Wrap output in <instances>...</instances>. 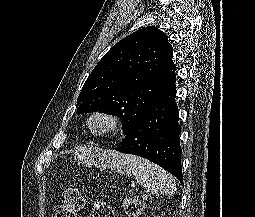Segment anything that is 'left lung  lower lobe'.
<instances>
[{
    "label": "left lung lower lobe",
    "mask_w": 255,
    "mask_h": 217,
    "mask_svg": "<svg viewBox=\"0 0 255 217\" xmlns=\"http://www.w3.org/2000/svg\"><path fill=\"white\" fill-rule=\"evenodd\" d=\"M175 82L176 78L148 105L116 150L156 163L183 184Z\"/></svg>",
    "instance_id": "1"
}]
</instances>
